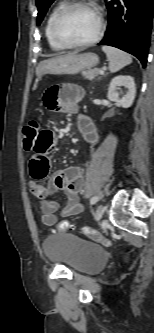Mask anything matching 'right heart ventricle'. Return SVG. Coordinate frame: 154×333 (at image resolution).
<instances>
[{
	"label": "right heart ventricle",
	"mask_w": 154,
	"mask_h": 333,
	"mask_svg": "<svg viewBox=\"0 0 154 333\" xmlns=\"http://www.w3.org/2000/svg\"><path fill=\"white\" fill-rule=\"evenodd\" d=\"M65 5L64 1H60L58 2L49 12L47 19H46V23H45V27H44V31H45V36L46 39L48 41L49 46L53 49V50H57V51H61V50H65L67 49L66 47L62 46L61 44H59L56 39L53 36L52 33V22L53 19L55 17V15L57 14V12Z\"/></svg>",
	"instance_id": "obj_1"
}]
</instances>
